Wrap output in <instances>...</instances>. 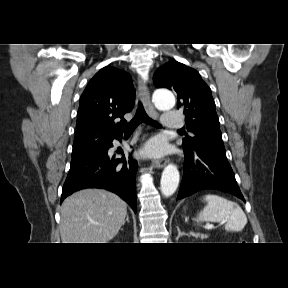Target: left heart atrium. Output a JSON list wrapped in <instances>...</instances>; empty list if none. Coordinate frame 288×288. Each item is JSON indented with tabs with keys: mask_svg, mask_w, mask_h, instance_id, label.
<instances>
[{
	"mask_svg": "<svg viewBox=\"0 0 288 288\" xmlns=\"http://www.w3.org/2000/svg\"><path fill=\"white\" fill-rule=\"evenodd\" d=\"M145 151L149 155L159 156V155L163 154L164 146H163L162 142L154 139L147 144Z\"/></svg>",
	"mask_w": 288,
	"mask_h": 288,
	"instance_id": "left-heart-atrium-1",
	"label": "left heart atrium"
}]
</instances>
